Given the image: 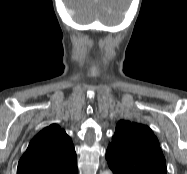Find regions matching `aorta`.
<instances>
[{
  "mask_svg": "<svg viewBox=\"0 0 187 174\" xmlns=\"http://www.w3.org/2000/svg\"><path fill=\"white\" fill-rule=\"evenodd\" d=\"M102 174H111L109 171H105Z\"/></svg>",
  "mask_w": 187,
  "mask_h": 174,
  "instance_id": "762f6f07",
  "label": "aorta"
}]
</instances>
